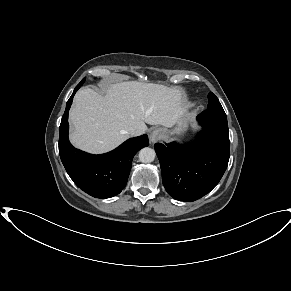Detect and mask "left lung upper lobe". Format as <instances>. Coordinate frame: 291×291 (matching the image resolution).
<instances>
[{"label": "left lung upper lobe", "instance_id": "left-lung-upper-lobe-1", "mask_svg": "<svg viewBox=\"0 0 291 291\" xmlns=\"http://www.w3.org/2000/svg\"><path fill=\"white\" fill-rule=\"evenodd\" d=\"M208 101L207 110H223L218 98L212 92L208 95Z\"/></svg>", "mask_w": 291, "mask_h": 291}]
</instances>
